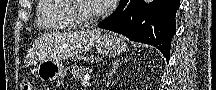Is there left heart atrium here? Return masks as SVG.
I'll list each match as a JSON object with an SVG mask.
<instances>
[{
  "label": "left heart atrium",
  "instance_id": "1",
  "mask_svg": "<svg viewBox=\"0 0 216 90\" xmlns=\"http://www.w3.org/2000/svg\"><path fill=\"white\" fill-rule=\"evenodd\" d=\"M97 3H107L108 7H113L114 3H120V0H97Z\"/></svg>",
  "mask_w": 216,
  "mask_h": 90
}]
</instances>
